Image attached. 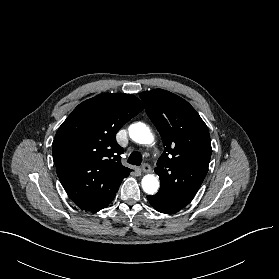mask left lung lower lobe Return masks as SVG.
Instances as JSON below:
<instances>
[{"mask_svg":"<svg viewBox=\"0 0 279 279\" xmlns=\"http://www.w3.org/2000/svg\"><path fill=\"white\" fill-rule=\"evenodd\" d=\"M154 209L161 213L172 214L184 208L193 199L191 197L176 196L158 191L156 195L147 196Z\"/></svg>","mask_w":279,"mask_h":279,"instance_id":"left-lung-lower-lobe-1","label":"left lung lower lobe"}]
</instances>
